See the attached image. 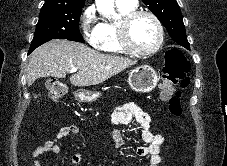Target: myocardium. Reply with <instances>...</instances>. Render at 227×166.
Segmentation results:
<instances>
[{
	"label": "myocardium",
	"mask_w": 227,
	"mask_h": 166,
	"mask_svg": "<svg viewBox=\"0 0 227 166\" xmlns=\"http://www.w3.org/2000/svg\"><path fill=\"white\" fill-rule=\"evenodd\" d=\"M143 15L151 18L157 29V40L154 43V45L149 49H139V48L135 47L129 40L130 25L138 17L143 16ZM117 36H118L120 45L126 52L136 55V56H150V55H153L156 52H158L160 50V48L162 47L163 40H164V30H163V26H162L160 20L154 13H152L150 11H146V10H134V11L122 16V18L118 22Z\"/></svg>",
	"instance_id": "1"
}]
</instances>
